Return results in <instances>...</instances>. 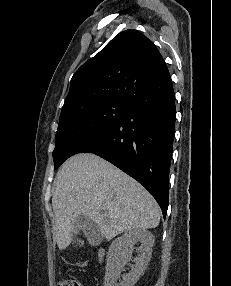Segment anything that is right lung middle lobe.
<instances>
[{"label": "right lung middle lobe", "mask_w": 231, "mask_h": 286, "mask_svg": "<svg viewBox=\"0 0 231 286\" xmlns=\"http://www.w3.org/2000/svg\"><path fill=\"white\" fill-rule=\"evenodd\" d=\"M126 113L122 101H105L60 117L53 151L55 169Z\"/></svg>", "instance_id": "dd1d6c3e"}]
</instances>
